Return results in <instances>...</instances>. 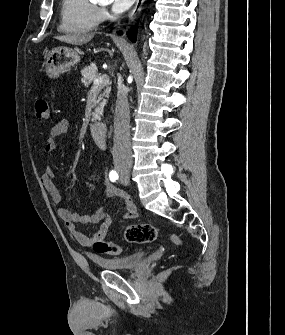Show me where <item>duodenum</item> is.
I'll return each mask as SVG.
<instances>
[{"instance_id": "duodenum-1", "label": "duodenum", "mask_w": 285, "mask_h": 335, "mask_svg": "<svg viewBox=\"0 0 285 335\" xmlns=\"http://www.w3.org/2000/svg\"><path fill=\"white\" fill-rule=\"evenodd\" d=\"M90 134L95 141V143L101 148L105 149L107 146L106 135L107 130L106 127L98 122L92 123L90 126Z\"/></svg>"}]
</instances>
